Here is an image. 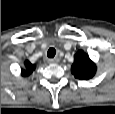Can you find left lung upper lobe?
Instances as JSON below:
<instances>
[{
  "mask_svg": "<svg viewBox=\"0 0 115 114\" xmlns=\"http://www.w3.org/2000/svg\"><path fill=\"white\" fill-rule=\"evenodd\" d=\"M71 72L76 78L87 80L95 75L96 65L83 50H79L75 54Z\"/></svg>",
  "mask_w": 115,
  "mask_h": 114,
  "instance_id": "obj_1",
  "label": "left lung upper lobe"
}]
</instances>
